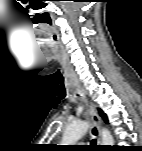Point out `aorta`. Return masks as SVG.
<instances>
[{"label":"aorta","instance_id":"1","mask_svg":"<svg viewBox=\"0 0 142 151\" xmlns=\"http://www.w3.org/2000/svg\"><path fill=\"white\" fill-rule=\"evenodd\" d=\"M89 128V123L86 121H75L71 123L65 130L62 143L63 145H74L78 140H80ZM102 145H114V139L107 129H102Z\"/></svg>","mask_w":142,"mask_h":151}]
</instances>
